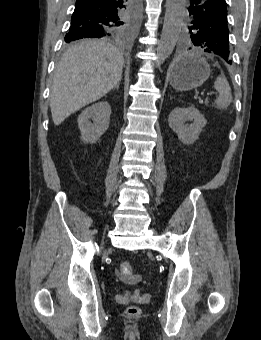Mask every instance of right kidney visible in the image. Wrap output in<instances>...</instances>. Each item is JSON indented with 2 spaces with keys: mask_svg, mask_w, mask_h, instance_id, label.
I'll use <instances>...</instances> for the list:
<instances>
[{
  "mask_svg": "<svg viewBox=\"0 0 261 340\" xmlns=\"http://www.w3.org/2000/svg\"><path fill=\"white\" fill-rule=\"evenodd\" d=\"M110 114L111 106L106 101L95 103L82 111L78 117L81 140L86 143H96L108 129Z\"/></svg>",
  "mask_w": 261,
  "mask_h": 340,
  "instance_id": "ca27d5eb",
  "label": "right kidney"
}]
</instances>
